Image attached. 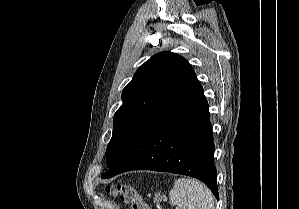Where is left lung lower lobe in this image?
<instances>
[{
	"mask_svg": "<svg viewBox=\"0 0 299 209\" xmlns=\"http://www.w3.org/2000/svg\"><path fill=\"white\" fill-rule=\"evenodd\" d=\"M209 105L195 78L160 107L131 139L102 178L130 170L195 177L218 199Z\"/></svg>",
	"mask_w": 299,
	"mask_h": 209,
	"instance_id": "obj_1",
	"label": "left lung lower lobe"
}]
</instances>
